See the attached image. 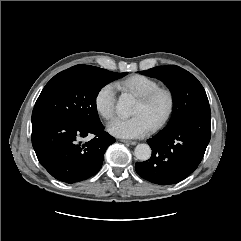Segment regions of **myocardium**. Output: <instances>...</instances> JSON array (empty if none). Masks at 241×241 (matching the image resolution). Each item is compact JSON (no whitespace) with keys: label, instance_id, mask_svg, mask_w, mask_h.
Returning <instances> with one entry per match:
<instances>
[{"label":"myocardium","instance_id":"f54148a6","mask_svg":"<svg viewBox=\"0 0 241 241\" xmlns=\"http://www.w3.org/2000/svg\"><path fill=\"white\" fill-rule=\"evenodd\" d=\"M160 97L166 100V109L162 116L154 123L152 130L157 131L163 128L172 118L175 110L176 99L173 91L167 87H158L137 98L143 105H149Z\"/></svg>","mask_w":241,"mask_h":241}]
</instances>
